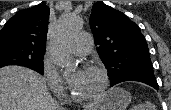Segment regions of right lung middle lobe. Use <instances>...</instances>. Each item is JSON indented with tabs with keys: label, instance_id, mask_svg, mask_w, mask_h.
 <instances>
[{
	"label": "right lung middle lobe",
	"instance_id": "right-lung-middle-lobe-1",
	"mask_svg": "<svg viewBox=\"0 0 171 110\" xmlns=\"http://www.w3.org/2000/svg\"><path fill=\"white\" fill-rule=\"evenodd\" d=\"M44 53L45 51L30 49L15 43H0V68L20 65L43 74Z\"/></svg>",
	"mask_w": 171,
	"mask_h": 110
}]
</instances>
